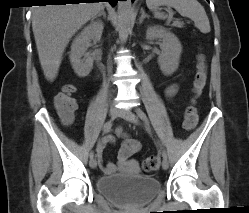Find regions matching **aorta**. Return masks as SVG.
I'll return each instance as SVG.
<instances>
[{
    "label": "aorta",
    "mask_w": 249,
    "mask_h": 213,
    "mask_svg": "<svg viewBox=\"0 0 249 213\" xmlns=\"http://www.w3.org/2000/svg\"><path fill=\"white\" fill-rule=\"evenodd\" d=\"M118 31L121 42H126L130 29L131 1H118Z\"/></svg>",
    "instance_id": "762f6f07"
}]
</instances>
